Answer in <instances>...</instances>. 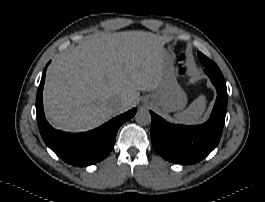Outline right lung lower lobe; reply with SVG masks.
Returning <instances> with one entry per match:
<instances>
[{
	"instance_id": "98d812e1",
	"label": "right lung lower lobe",
	"mask_w": 265,
	"mask_h": 202,
	"mask_svg": "<svg viewBox=\"0 0 265 202\" xmlns=\"http://www.w3.org/2000/svg\"><path fill=\"white\" fill-rule=\"evenodd\" d=\"M48 64L44 69L36 98L37 122L44 142L65 162L75 166H88L104 159L114 146L118 129L134 116L136 108L89 132L74 134L55 130L46 121L43 110L42 94Z\"/></svg>"
}]
</instances>
